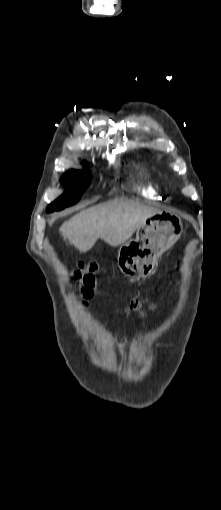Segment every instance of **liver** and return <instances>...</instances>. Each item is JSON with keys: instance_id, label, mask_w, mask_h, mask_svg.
Returning a JSON list of instances; mask_svg holds the SVG:
<instances>
[{"instance_id": "6515ba94", "label": "liver", "mask_w": 221, "mask_h": 510, "mask_svg": "<svg viewBox=\"0 0 221 510\" xmlns=\"http://www.w3.org/2000/svg\"><path fill=\"white\" fill-rule=\"evenodd\" d=\"M161 210L129 199H114L84 209L65 221L59 231L80 253L100 238L117 247L132 237L144 221Z\"/></svg>"}]
</instances>
